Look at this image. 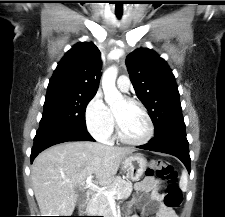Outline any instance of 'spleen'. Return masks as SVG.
<instances>
[{"mask_svg":"<svg viewBox=\"0 0 225 217\" xmlns=\"http://www.w3.org/2000/svg\"><path fill=\"white\" fill-rule=\"evenodd\" d=\"M187 183H188V174L186 171L182 172L181 178H180V183L179 186L182 191H186L187 189Z\"/></svg>","mask_w":225,"mask_h":217,"instance_id":"3e777b00","label":"spleen"}]
</instances>
